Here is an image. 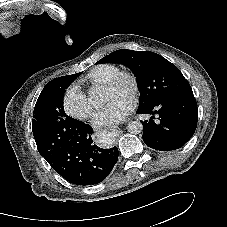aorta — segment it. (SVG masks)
<instances>
[{
  "label": "aorta",
  "instance_id": "obj_1",
  "mask_svg": "<svg viewBox=\"0 0 227 227\" xmlns=\"http://www.w3.org/2000/svg\"><path fill=\"white\" fill-rule=\"evenodd\" d=\"M98 96H95V91H91L90 92V98L89 101H98ZM128 132L131 134H140L143 131V125L140 121L135 120V121H131L129 122L128 126H127Z\"/></svg>",
  "mask_w": 227,
  "mask_h": 227
}]
</instances>
